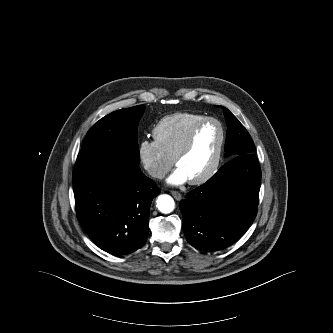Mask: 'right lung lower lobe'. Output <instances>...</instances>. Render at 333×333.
Listing matches in <instances>:
<instances>
[{
    "label": "right lung lower lobe",
    "instance_id": "obj_1",
    "mask_svg": "<svg viewBox=\"0 0 333 333\" xmlns=\"http://www.w3.org/2000/svg\"><path fill=\"white\" fill-rule=\"evenodd\" d=\"M73 186L77 218L99 248L125 255L145 244L160 189L137 162L116 151L79 153Z\"/></svg>",
    "mask_w": 333,
    "mask_h": 333
}]
</instances>
